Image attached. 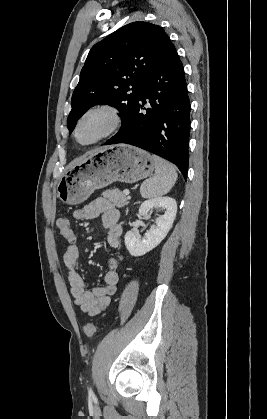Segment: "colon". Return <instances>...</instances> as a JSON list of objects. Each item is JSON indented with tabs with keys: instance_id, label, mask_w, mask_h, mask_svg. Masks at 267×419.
Wrapping results in <instances>:
<instances>
[{
	"instance_id": "5ec220e1",
	"label": "colon",
	"mask_w": 267,
	"mask_h": 419,
	"mask_svg": "<svg viewBox=\"0 0 267 419\" xmlns=\"http://www.w3.org/2000/svg\"><path fill=\"white\" fill-rule=\"evenodd\" d=\"M57 225L61 236L68 242L75 241V233L70 227L69 221L66 218H60L57 221ZM96 331V325L92 322L87 323L84 327V333L87 337H92Z\"/></svg>"
}]
</instances>
